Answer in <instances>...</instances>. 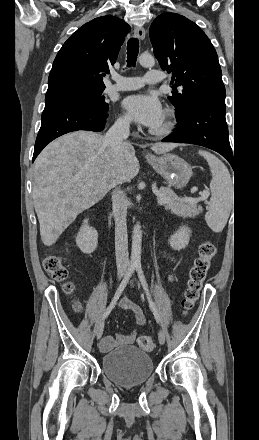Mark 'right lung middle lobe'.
Here are the masks:
<instances>
[{"mask_svg":"<svg viewBox=\"0 0 259 440\" xmlns=\"http://www.w3.org/2000/svg\"><path fill=\"white\" fill-rule=\"evenodd\" d=\"M104 89L75 87L46 94L45 106L61 103H82L108 111V104L104 101L105 97L102 96Z\"/></svg>","mask_w":259,"mask_h":440,"instance_id":"1","label":"right lung middle lobe"}]
</instances>
